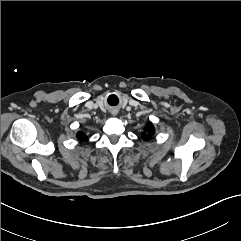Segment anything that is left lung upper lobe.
<instances>
[{
    "label": "left lung upper lobe",
    "instance_id": "obj_1",
    "mask_svg": "<svg viewBox=\"0 0 241 241\" xmlns=\"http://www.w3.org/2000/svg\"><path fill=\"white\" fill-rule=\"evenodd\" d=\"M155 133V129L151 123H148L145 128L144 132L142 133V138L144 140H148L152 137V135Z\"/></svg>",
    "mask_w": 241,
    "mask_h": 241
}]
</instances>
